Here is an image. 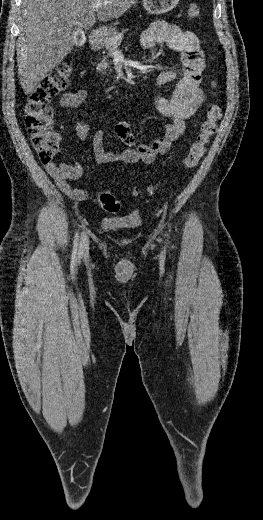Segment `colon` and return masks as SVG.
<instances>
[{"label":"colon","mask_w":263,"mask_h":520,"mask_svg":"<svg viewBox=\"0 0 263 520\" xmlns=\"http://www.w3.org/2000/svg\"><path fill=\"white\" fill-rule=\"evenodd\" d=\"M186 15L190 20H198L201 11L198 5L188 6ZM71 66L62 63L50 73L31 91L25 103L24 123L30 135L31 143L43 163H49L59 150V141L52 132L51 100L62 90L66 89L70 82ZM216 87V84H213ZM222 116L219 103L213 102L206 109L205 119L200 125L196 140L191 145L188 154L183 160L186 169L195 168L203 157L206 146L216 132L217 123ZM101 207L111 213L120 210V201L111 193L103 191L99 195Z\"/></svg>","instance_id":"1"}]
</instances>
